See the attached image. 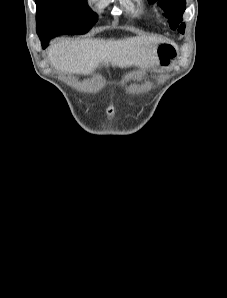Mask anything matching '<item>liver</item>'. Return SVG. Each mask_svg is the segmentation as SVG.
<instances>
[{
	"label": "liver",
	"instance_id": "liver-1",
	"mask_svg": "<svg viewBox=\"0 0 227 298\" xmlns=\"http://www.w3.org/2000/svg\"><path fill=\"white\" fill-rule=\"evenodd\" d=\"M165 41L157 36L63 39L51 45L48 57L54 68L73 74H92L101 64L147 68L158 64L157 46Z\"/></svg>",
	"mask_w": 227,
	"mask_h": 298
}]
</instances>
